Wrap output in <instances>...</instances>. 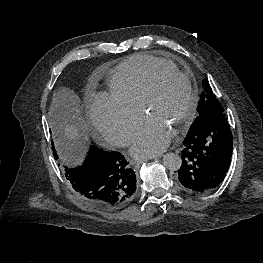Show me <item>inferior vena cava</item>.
I'll list each match as a JSON object with an SVG mask.
<instances>
[{
	"instance_id": "602c4592",
	"label": "inferior vena cava",
	"mask_w": 263,
	"mask_h": 263,
	"mask_svg": "<svg viewBox=\"0 0 263 263\" xmlns=\"http://www.w3.org/2000/svg\"><path fill=\"white\" fill-rule=\"evenodd\" d=\"M129 144H130L129 139H123L122 141H120V146H127Z\"/></svg>"
}]
</instances>
